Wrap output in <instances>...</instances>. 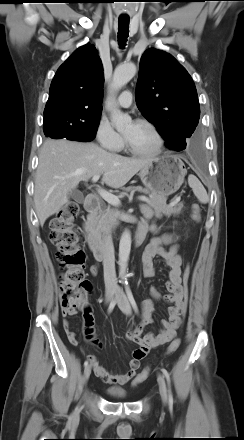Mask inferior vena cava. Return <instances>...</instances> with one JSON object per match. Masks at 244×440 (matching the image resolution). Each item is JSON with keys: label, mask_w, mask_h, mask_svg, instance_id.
I'll list each match as a JSON object with an SVG mask.
<instances>
[{"label": "inferior vena cava", "mask_w": 244, "mask_h": 440, "mask_svg": "<svg viewBox=\"0 0 244 440\" xmlns=\"http://www.w3.org/2000/svg\"><path fill=\"white\" fill-rule=\"evenodd\" d=\"M102 252L105 287L107 291H114L117 288L115 255L112 237L108 232L103 236Z\"/></svg>", "instance_id": "obj_1"}]
</instances>
